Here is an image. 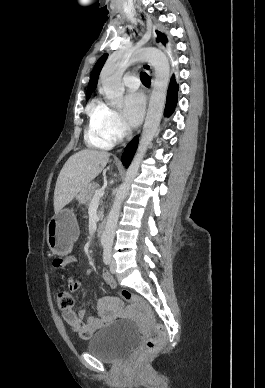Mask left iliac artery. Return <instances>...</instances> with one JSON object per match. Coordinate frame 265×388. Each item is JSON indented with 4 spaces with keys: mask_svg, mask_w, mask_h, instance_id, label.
Wrapping results in <instances>:
<instances>
[{
    "mask_svg": "<svg viewBox=\"0 0 265 388\" xmlns=\"http://www.w3.org/2000/svg\"><path fill=\"white\" fill-rule=\"evenodd\" d=\"M111 260V246L104 245L103 261L105 264H109Z\"/></svg>",
    "mask_w": 265,
    "mask_h": 388,
    "instance_id": "1",
    "label": "left iliac artery"
}]
</instances>
